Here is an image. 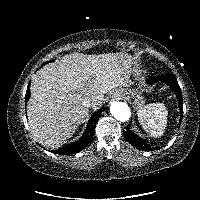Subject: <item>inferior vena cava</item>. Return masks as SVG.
Returning <instances> with one entry per match:
<instances>
[{
    "mask_svg": "<svg viewBox=\"0 0 200 200\" xmlns=\"http://www.w3.org/2000/svg\"><path fill=\"white\" fill-rule=\"evenodd\" d=\"M82 105L83 107L85 108H89L93 105V100L91 98H84L83 101H82Z\"/></svg>",
    "mask_w": 200,
    "mask_h": 200,
    "instance_id": "602c4592",
    "label": "inferior vena cava"
}]
</instances>
